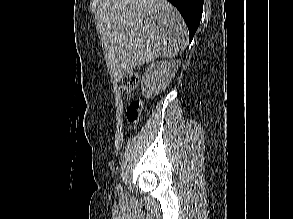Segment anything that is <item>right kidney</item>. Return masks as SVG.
<instances>
[{"mask_svg": "<svg viewBox=\"0 0 293 219\" xmlns=\"http://www.w3.org/2000/svg\"><path fill=\"white\" fill-rule=\"evenodd\" d=\"M180 64L178 60H169L152 63L147 67L141 82L143 96L152 98L164 91L174 78Z\"/></svg>", "mask_w": 293, "mask_h": 219, "instance_id": "ca27d5eb", "label": "right kidney"}]
</instances>
